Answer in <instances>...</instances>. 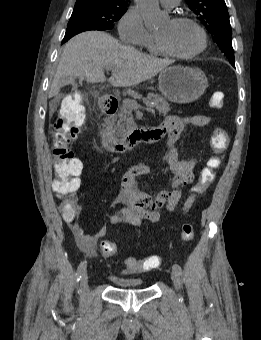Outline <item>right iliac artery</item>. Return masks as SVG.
Instances as JSON below:
<instances>
[{"instance_id": "obj_1", "label": "right iliac artery", "mask_w": 261, "mask_h": 340, "mask_svg": "<svg viewBox=\"0 0 261 340\" xmlns=\"http://www.w3.org/2000/svg\"><path fill=\"white\" fill-rule=\"evenodd\" d=\"M86 267H87V261H82L77 269V273H76V282H79L82 275L84 274V272L86 271Z\"/></svg>"}]
</instances>
